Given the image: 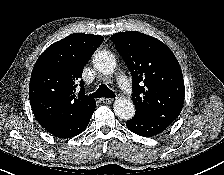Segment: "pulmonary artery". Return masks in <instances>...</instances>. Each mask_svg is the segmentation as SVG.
Returning a JSON list of instances; mask_svg holds the SVG:
<instances>
[{
	"label": "pulmonary artery",
	"instance_id": "obj_1",
	"mask_svg": "<svg viewBox=\"0 0 224 175\" xmlns=\"http://www.w3.org/2000/svg\"><path fill=\"white\" fill-rule=\"evenodd\" d=\"M118 84H119V87L122 90H124L125 92L131 91V86H130L128 80L124 76H121L118 78Z\"/></svg>",
	"mask_w": 224,
	"mask_h": 175
}]
</instances>
